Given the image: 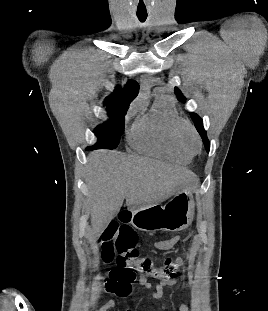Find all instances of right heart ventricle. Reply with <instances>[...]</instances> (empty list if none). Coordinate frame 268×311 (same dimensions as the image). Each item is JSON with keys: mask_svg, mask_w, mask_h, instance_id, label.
<instances>
[{"mask_svg": "<svg viewBox=\"0 0 268 311\" xmlns=\"http://www.w3.org/2000/svg\"><path fill=\"white\" fill-rule=\"evenodd\" d=\"M178 117L173 101L169 97L158 96L151 109L134 121L129 143L142 153L179 164L189 163L191 155L180 149L173 137V122Z\"/></svg>", "mask_w": 268, "mask_h": 311, "instance_id": "1", "label": "right heart ventricle"}]
</instances>
